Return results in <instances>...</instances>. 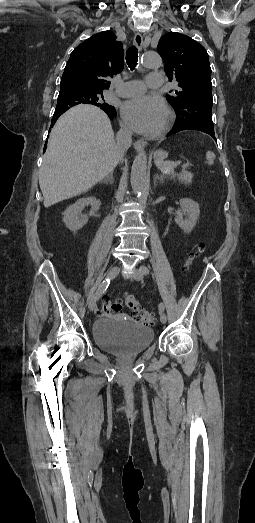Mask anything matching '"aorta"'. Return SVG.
<instances>
[{
    "mask_svg": "<svg viewBox=\"0 0 255 523\" xmlns=\"http://www.w3.org/2000/svg\"><path fill=\"white\" fill-rule=\"evenodd\" d=\"M162 64V59L156 52H146L142 56V65L146 68H158ZM131 186L135 193H141L147 181V155L144 152L139 153L132 164Z\"/></svg>",
    "mask_w": 255,
    "mask_h": 523,
    "instance_id": "1",
    "label": "aorta"
}]
</instances>
